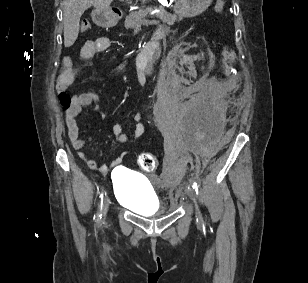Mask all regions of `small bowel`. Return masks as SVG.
<instances>
[{
	"label": "small bowel",
	"instance_id": "obj_1",
	"mask_svg": "<svg viewBox=\"0 0 308 283\" xmlns=\"http://www.w3.org/2000/svg\"><path fill=\"white\" fill-rule=\"evenodd\" d=\"M111 45V42L106 37H99L95 40L87 41L83 48H82V54L86 58H91L97 54H100L104 51H106ZM139 77L142 79L144 77V72L142 70H139ZM77 78V72L72 67V64L69 60H66L63 64V68L58 76L57 79V89L58 91H66L68 90L73 83L76 81ZM98 102V95L94 92H84L81 94H78L72 98L71 106L66 111V123L69 130V138L70 142L73 146V148L77 151V154L81 160H83L86 165L92 169L96 170L98 169L97 163L95 160L88 157V155L84 152V141L79 137L78 134V127L75 118L81 113L83 107L91 105V104H97ZM96 108L100 110L99 105H96ZM163 109V105H160V110ZM103 118H106V114L102 113ZM137 125L135 127L133 138L138 139L140 138L144 132H145V126L142 123V115L138 114L136 116ZM113 132L117 136L120 143H125L128 141V135L123 131L121 125L115 124L113 127ZM122 161V158L119 157L115 159L110 164H103L99 167V170L102 173H107L109 170L120 164Z\"/></svg>",
	"mask_w": 308,
	"mask_h": 283
}]
</instances>
